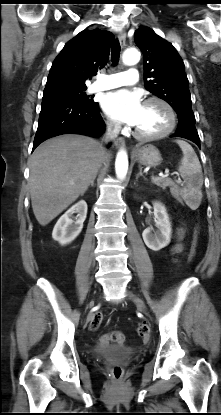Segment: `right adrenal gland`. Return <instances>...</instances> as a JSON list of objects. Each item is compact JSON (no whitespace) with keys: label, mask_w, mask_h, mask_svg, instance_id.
<instances>
[{"label":"right adrenal gland","mask_w":221,"mask_h":415,"mask_svg":"<svg viewBox=\"0 0 221 415\" xmlns=\"http://www.w3.org/2000/svg\"><path fill=\"white\" fill-rule=\"evenodd\" d=\"M95 179H96V176H94L93 177V179L91 180V182H90V185L93 187L94 186V181H95Z\"/></svg>","instance_id":"2a0ac1e0"}]
</instances>
